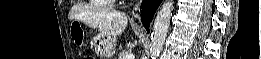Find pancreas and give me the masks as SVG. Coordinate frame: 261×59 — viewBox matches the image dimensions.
Segmentation results:
<instances>
[{"mask_svg": "<svg viewBox=\"0 0 261 59\" xmlns=\"http://www.w3.org/2000/svg\"><path fill=\"white\" fill-rule=\"evenodd\" d=\"M128 54V51L124 50L119 54L118 59H125V56Z\"/></svg>", "mask_w": 261, "mask_h": 59, "instance_id": "1", "label": "pancreas"}]
</instances>
